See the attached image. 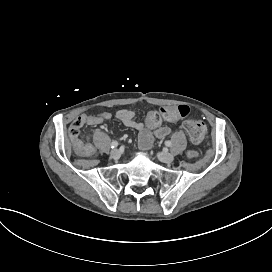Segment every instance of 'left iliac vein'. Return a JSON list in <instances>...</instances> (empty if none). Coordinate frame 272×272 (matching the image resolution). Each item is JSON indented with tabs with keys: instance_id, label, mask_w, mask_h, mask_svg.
<instances>
[{
	"instance_id": "obj_1",
	"label": "left iliac vein",
	"mask_w": 272,
	"mask_h": 272,
	"mask_svg": "<svg viewBox=\"0 0 272 272\" xmlns=\"http://www.w3.org/2000/svg\"><path fill=\"white\" fill-rule=\"evenodd\" d=\"M158 158L164 163H171L174 161V155L169 152H159Z\"/></svg>"
}]
</instances>
